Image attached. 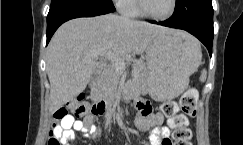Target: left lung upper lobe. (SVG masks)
<instances>
[{"instance_id": "obj_1", "label": "left lung upper lobe", "mask_w": 243, "mask_h": 145, "mask_svg": "<svg viewBox=\"0 0 243 145\" xmlns=\"http://www.w3.org/2000/svg\"><path fill=\"white\" fill-rule=\"evenodd\" d=\"M174 12L199 29L213 30L212 0H176Z\"/></svg>"}]
</instances>
